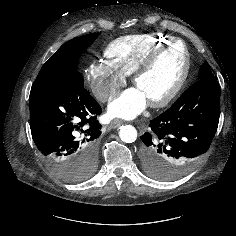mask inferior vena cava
Here are the masks:
<instances>
[{"instance_id":"obj_1","label":"inferior vena cava","mask_w":236,"mask_h":236,"mask_svg":"<svg viewBox=\"0 0 236 236\" xmlns=\"http://www.w3.org/2000/svg\"><path fill=\"white\" fill-rule=\"evenodd\" d=\"M108 96H109L108 94H105V95H104V99H107V98H108Z\"/></svg>"}]
</instances>
